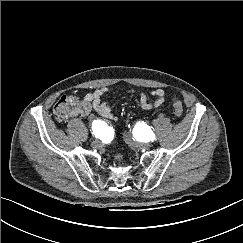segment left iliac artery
Returning <instances> with one entry per match:
<instances>
[{"mask_svg":"<svg viewBox=\"0 0 243 243\" xmlns=\"http://www.w3.org/2000/svg\"><path fill=\"white\" fill-rule=\"evenodd\" d=\"M133 135H135V138L140 139L139 133L136 131V129H134ZM145 138L152 140V141L156 140V136L153 133L147 134V136H145Z\"/></svg>","mask_w":243,"mask_h":243,"instance_id":"obj_1","label":"left iliac artery"}]
</instances>
